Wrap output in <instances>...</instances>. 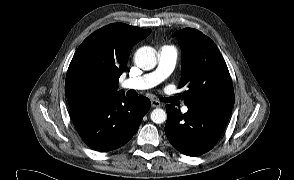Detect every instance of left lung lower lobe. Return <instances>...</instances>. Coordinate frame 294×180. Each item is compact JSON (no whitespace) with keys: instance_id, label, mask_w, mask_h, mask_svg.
Returning <instances> with one entry per match:
<instances>
[{"instance_id":"1","label":"left lung lower lobe","mask_w":294,"mask_h":180,"mask_svg":"<svg viewBox=\"0 0 294 180\" xmlns=\"http://www.w3.org/2000/svg\"><path fill=\"white\" fill-rule=\"evenodd\" d=\"M181 114L175 106L166 105L165 134L181 153L198 156L211 150L221 137L231 115L232 107L187 104Z\"/></svg>"}]
</instances>
